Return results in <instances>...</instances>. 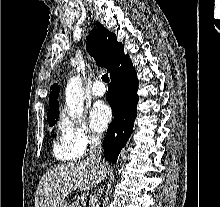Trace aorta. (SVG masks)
Wrapping results in <instances>:
<instances>
[{"label":"aorta","instance_id":"762f6f07","mask_svg":"<svg viewBox=\"0 0 220 207\" xmlns=\"http://www.w3.org/2000/svg\"><path fill=\"white\" fill-rule=\"evenodd\" d=\"M84 88L80 76L71 77L65 90L66 111L72 119L82 115L84 110Z\"/></svg>","mask_w":220,"mask_h":207}]
</instances>
